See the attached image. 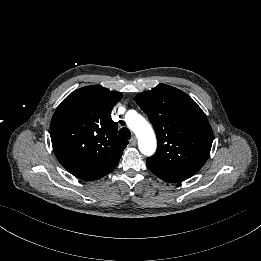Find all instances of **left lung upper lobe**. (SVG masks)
I'll use <instances>...</instances> for the list:
<instances>
[{
  "label": "left lung upper lobe",
  "mask_w": 261,
  "mask_h": 261,
  "mask_svg": "<svg viewBox=\"0 0 261 261\" xmlns=\"http://www.w3.org/2000/svg\"><path fill=\"white\" fill-rule=\"evenodd\" d=\"M157 135V151L148 158L167 167L198 172L209 157L213 132L202 109L183 91L159 84L136 95Z\"/></svg>",
  "instance_id": "left-lung-upper-lobe-1"
}]
</instances>
